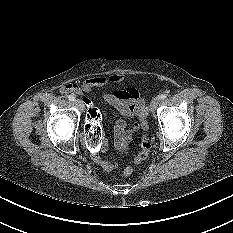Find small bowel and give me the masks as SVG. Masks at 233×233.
<instances>
[{
  "mask_svg": "<svg viewBox=\"0 0 233 233\" xmlns=\"http://www.w3.org/2000/svg\"><path fill=\"white\" fill-rule=\"evenodd\" d=\"M123 76L113 74L108 76H96L86 79L81 85L67 84L62 88L63 93H71L83 96L88 109L92 107L91 101L86 97L93 88L104 87L122 82ZM104 100L113 106L120 114L114 128V147L120 152H125L132 139L133 133L139 128L141 121L146 117L147 110L139 91L134 87H124L103 95ZM127 118H137L138 122L128 126ZM102 148L93 155L94 162L105 172H111L118 167L113 160L103 158L100 153L105 152L108 142L102 138Z\"/></svg>",
  "mask_w": 233,
  "mask_h": 233,
  "instance_id": "1",
  "label": "small bowel"
}]
</instances>
